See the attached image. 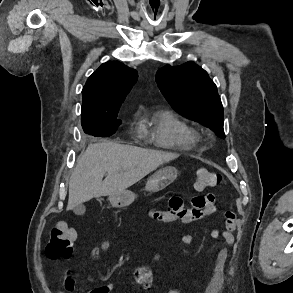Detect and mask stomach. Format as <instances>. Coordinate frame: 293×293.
Returning <instances> with one entry per match:
<instances>
[{"instance_id":"obj_1","label":"stomach","mask_w":293,"mask_h":293,"mask_svg":"<svg viewBox=\"0 0 293 293\" xmlns=\"http://www.w3.org/2000/svg\"><path fill=\"white\" fill-rule=\"evenodd\" d=\"M177 177V169L165 167L153 174L147 181L145 190L148 192H159L171 184ZM135 200V194L129 190L109 196L113 207L123 208L129 206Z\"/></svg>"}]
</instances>
